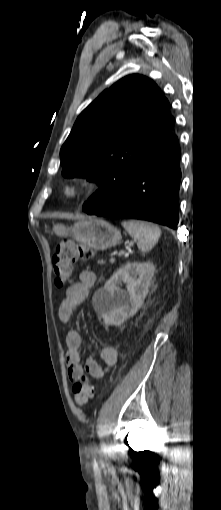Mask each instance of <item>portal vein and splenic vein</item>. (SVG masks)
<instances>
[{
  "label": "portal vein and splenic vein",
  "mask_w": 221,
  "mask_h": 510,
  "mask_svg": "<svg viewBox=\"0 0 221 510\" xmlns=\"http://www.w3.org/2000/svg\"><path fill=\"white\" fill-rule=\"evenodd\" d=\"M121 253H124V252L122 251ZM110 262H111V263H114V262H115V258H111V259H110Z\"/></svg>",
  "instance_id": "1"
}]
</instances>
